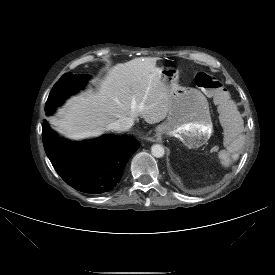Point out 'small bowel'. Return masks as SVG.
Instances as JSON below:
<instances>
[{"label": "small bowel", "instance_id": "1", "mask_svg": "<svg viewBox=\"0 0 275 275\" xmlns=\"http://www.w3.org/2000/svg\"><path fill=\"white\" fill-rule=\"evenodd\" d=\"M221 108V116L224 123L223 128L228 135L227 139L229 142L227 150H222L219 157L228 165L232 159L236 160L239 157V152L242 148L240 141L242 139L243 121L236 105L232 101L223 103Z\"/></svg>", "mask_w": 275, "mask_h": 275}]
</instances>
